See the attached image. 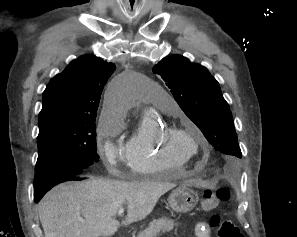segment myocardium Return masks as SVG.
Listing matches in <instances>:
<instances>
[{"label":"myocardium","instance_id":"obj_1","mask_svg":"<svg viewBox=\"0 0 297 237\" xmlns=\"http://www.w3.org/2000/svg\"><path fill=\"white\" fill-rule=\"evenodd\" d=\"M181 140H191L195 145V152L191 154L185 153L179 145ZM199 140L198 136L181 128H167L160 135V144L163 149L167 153L176 155L186 161H189L201 152Z\"/></svg>","mask_w":297,"mask_h":237}]
</instances>
